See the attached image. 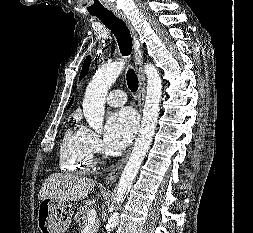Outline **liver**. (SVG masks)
<instances>
[{
	"mask_svg": "<svg viewBox=\"0 0 253 233\" xmlns=\"http://www.w3.org/2000/svg\"><path fill=\"white\" fill-rule=\"evenodd\" d=\"M94 181L91 178L71 174L54 173L43 182L39 191L40 201L46 198L63 201H80L94 191Z\"/></svg>",
	"mask_w": 253,
	"mask_h": 233,
	"instance_id": "obj_1",
	"label": "liver"
}]
</instances>
